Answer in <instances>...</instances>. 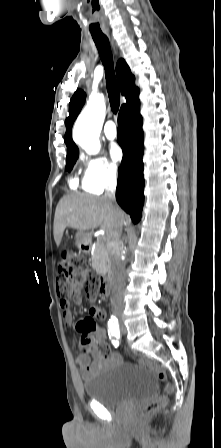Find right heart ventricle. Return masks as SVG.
<instances>
[{
  "instance_id": "e07e8e85",
  "label": "right heart ventricle",
  "mask_w": 221,
  "mask_h": 448,
  "mask_svg": "<svg viewBox=\"0 0 221 448\" xmlns=\"http://www.w3.org/2000/svg\"><path fill=\"white\" fill-rule=\"evenodd\" d=\"M69 184L72 188H75L77 186V178L74 176L70 179Z\"/></svg>"
}]
</instances>
